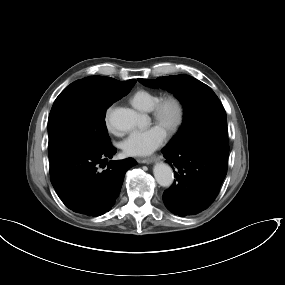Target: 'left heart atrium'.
Wrapping results in <instances>:
<instances>
[{
	"label": "left heart atrium",
	"mask_w": 285,
	"mask_h": 285,
	"mask_svg": "<svg viewBox=\"0 0 285 285\" xmlns=\"http://www.w3.org/2000/svg\"><path fill=\"white\" fill-rule=\"evenodd\" d=\"M166 139V131L160 124L147 129L134 130L123 141L122 148L128 156H147L159 148Z\"/></svg>",
	"instance_id": "left-heart-atrium-1"
}]
</instances>
